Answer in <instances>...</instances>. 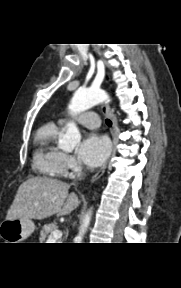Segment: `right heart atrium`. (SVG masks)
I'll return each instance as SVG.
<instances>
[{
  "label": "right heart atrium",
  "mask_w": 181,
  "mask_h": 288,
  "mask_svg": "<svg viewBox=\"0 0 181 288\" xmlns=\"http://www.w3.org/2000/svg\"><path fill=\"white\" fill-rule=\"evenodd\" d=\"M78 170H79V164L76 161V159L71 155L65 154L63 168L61 169L59 176L70 177Z\"/></svg>",
  "instance_id": "d8ad5b80"
}]
</instances>
